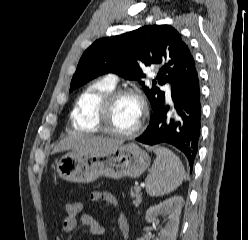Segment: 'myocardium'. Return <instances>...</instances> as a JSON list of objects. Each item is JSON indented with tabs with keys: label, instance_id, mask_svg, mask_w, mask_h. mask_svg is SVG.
<instances>
[{
	"label": "myocardium",
	"instance_id": "obj_1",
	"mask_svg": "<svg viewBox=\"0 0 248 240\" xmlns=\"http://www.w3.org/2000/svg\"><path fill=\"white\" fill-rule=\"evenodd\" d=\"M124 96L136 98L141 105V117L137 126L129 132H120L109 127L107 119L115 105L116 101ZM148 115V106L144 96L137 89L133 88H114L107 93L99 102L95 110V125L98 131L118 138H133L137 136L143 129L146 117Z\"/></svg>",
	"mask_w": 248,
	"mask_h": 240
}]
</instances>
